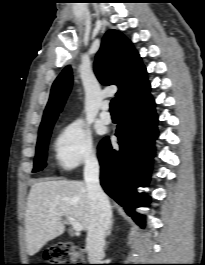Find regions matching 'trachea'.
<instances>
[{
    "label": "trachea",
    "mask_w": 205,
    "mask_h": 265,
    "mask_svg": "<svg viewBox=\"0 0 205 265\" xmlns=\"http://www.w3.org/2000/svg\"><path fill=\"white\" fill-rule=\"evenodd\" d=\"M110 111L112 113H117L118 112V106H117V101L115 98H113L111 100V103H110Z\"/></svg>",
    "instance_id": "obj_1"
}]
</instances>
